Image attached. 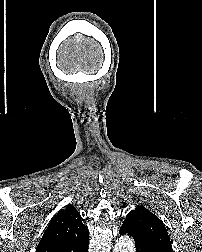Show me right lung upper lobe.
Returning <instances> with one entry per match:
<instances>
[{
	"instance_id": "obj_1",
	"label": "right lung upper lobe",
	"mask_w": 202,
	"mask_h": 252,
	"mask_svg": "<svg viewBox=\"0 0 202 252\" xmlns=\"http://www.w3.org/2000/svg\"><path fill=\"white\" fill-rule=\"evenodd\" d=\"M81 219L73 206L60 210L50 221L36 252H86L89 231Z\"/></svg>"
}]
</instances>
